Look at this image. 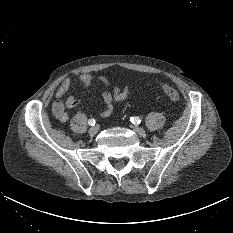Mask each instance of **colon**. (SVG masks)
Returning a JSON list of instances; mask_svg holds the SVG:
<instances>
[{
	"mask_svg": "<svg viewBox=\"0 0 233 233\" xmlns=\"http://www.w3.org/2000/svg\"><path fill=\"white\" fill-rule=\"evenodd\" d=\"M162 89L172 101L178 102L180 100V94L175 88L167 85H162Z\"/></svg>",
	"mask_w": 233,
	"mask_h": 233,
	"instance_id": "5ec220e1",
	"label": "colon"
}]
</instances>
